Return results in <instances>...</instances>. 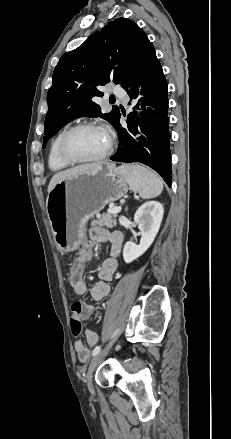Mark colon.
I'll return each mask as SVG.
<instances>
[{
    "label": "colon",
    "instance_id": "1",
    "mask_svg": "<svg viewBox=\"0 0 231 439\" xmlns=\"http://www.w3.org/2000/svg\"><path fill=\"white\" fill-rule=\"evenodd\" d=\"M85 274L86 267L79 260H74L68 270L69 283L73 288L72 292L74 295V287L76 283H87L83 278ZM71 331L75 337L80 336L82 333V324L77 315H72L71 317Z\"/></svg>",
    "mask_w": 231,
    "mask_h": 439
}]
</instances>
